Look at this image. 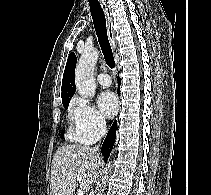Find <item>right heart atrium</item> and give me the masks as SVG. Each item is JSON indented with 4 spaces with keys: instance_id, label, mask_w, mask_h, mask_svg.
Listing matches in <instances>:
<instances>
[{
    "instance_id": "1",
    "label": "right heart atrium",
    "mask_w": 211,
    "mask_h": 195,
    "mask_svg": "<svg viewBox=\"0 0 211 195\" xmlns=\"http://www.w3.org/2000/svg\"><path fill=\"white\" fill-rule=\"evenodd\" d=\"M71 136L82 143L91 144L106 131V121L101 113L86 99L75 97L69 109Z\"/></svg>"
}]
</instances>
